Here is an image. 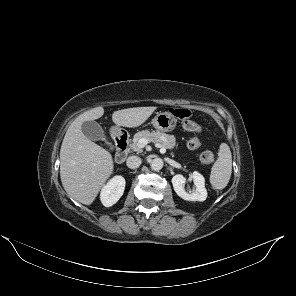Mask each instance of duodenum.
<instances>
[{
  "instance_id": "1",
  "label": "duodenum",
  "mask_w": 296,
  "mask_h": 296,
  "mask_svg": "<svg viewBox=\"0 0 296 296\" xmlns=\"http://www.w3.org/2000/svg\"><path fill=\"white\" fill-rule=\"evenodd\" d=\"M113 139L116 144L115 162L123 163L128 154V136L122 131H114Z\"/></svg>"
}]
</instances>
